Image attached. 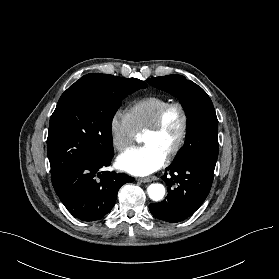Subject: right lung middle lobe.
<instances>
[{
	"label": "right lung middle lobe",
	"mask_w": 279,
	"mask_h": 279,
	"mask_svg": "<svg viewBox=\"0 0 279 279\" xmlns=\"http://www.w3.org/2000/svg\"><path fill=\"white\" fill-rule=\"evenodd\" d=\"M145 82L108 74H87L60 97L48 131L51 178L84 162L113 155L112 118L121 101Z\"/></svg>",
	"instance_id": "right-lung-middle-lobe-1"
}]
</instances>
